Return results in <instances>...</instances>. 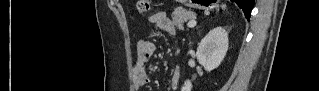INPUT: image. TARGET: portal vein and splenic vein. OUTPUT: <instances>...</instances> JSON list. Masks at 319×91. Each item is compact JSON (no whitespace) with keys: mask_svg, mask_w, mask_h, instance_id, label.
<instances>
[{"mask_svg":"<svg viewBox=\"0 0 319 91\" xmlns=\"http://www.w3.org/2000/svg\"><path fill=\"white\" fill-rule=\"evenodd\" d=\"M196 24H197V22H196L195 20H191V21H189V22L187 23V26H188L189 28H193V27L196 26Z\"/></svg>","mask_w":319,"mask_h":91,"instance_id":"portal-vein-and-splenic-vein-1","label":"portal vein and splenic vein"}]
</instances>
